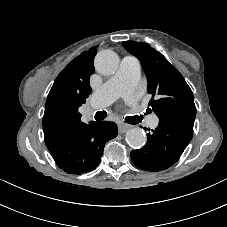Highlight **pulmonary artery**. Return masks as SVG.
<instances>
[{
	"instance_id": "1",
	"label": "pulmonary artery",
	"mask_w": 227,
	"mask_h": 227,
	"mask_svg": "<svg viewBox=\"0 0 227 227\" xmlns=\"http://www.w3.org/2000/svg\"><path fill=\"white\" fill-rule=\"evenodd\" d=\"M140 71V63L136 58L124 56L117 72L94 92L91 110L102 109L118 97H123L128 104H135L133 90L139 81ZM147 117L149 126L156 128L159 123L158 117L155 114L147 115Z\"/></svg>"
}]
</instances>
